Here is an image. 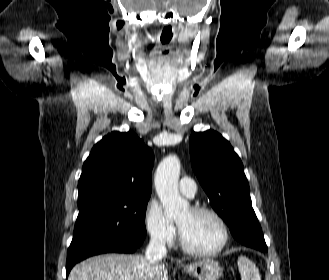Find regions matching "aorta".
<instances>
[{"instance_id":"obj_1","label":"aorta","mask_w":329,"mask_h":280,"mask_svg":"<svg viewBox=\"0 0 329 280\" xmlns=\"http://www.w3.org/2000/svg\"><path fill=\"white\" fill-rule=\"evenodd\" d=\"M180 161L169 155L159 164L154 178L157 195L163 205L165 216L176 219L187 213L189 204L181 198L178 190Z\"/></svg>"}]
</instances>
